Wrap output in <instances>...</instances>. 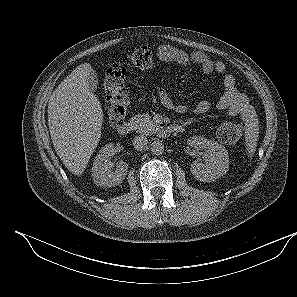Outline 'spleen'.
<instances>
[{"instance_id": "spleen-1", "label": "spleen", "mask_w": 297, "mask_h": 297, "mask_svg": "<svg viewBox=\"0 0 297 297\" xmlns=\"http://www.w3.org/2000/svg\"><path fill=\"white\" fill-rule=\"evenodd\" d=\"M246 122V131H245V140L247 150L250 155H252L257 146V139L259 135L258 119L256 114L251 112L245 117Z\"/></svg>"}]
</instances>
